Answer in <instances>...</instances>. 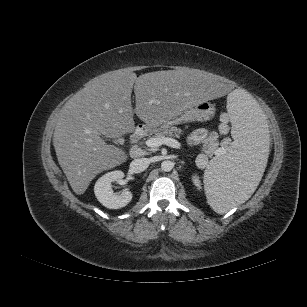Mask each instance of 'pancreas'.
Listing matches in <instances>:
<instances>
[{
	"label": "pancreas",
	"mask_w": 307,
	"mask_h": 307,
	"mask_svg": "<svg viewBox=\"0 0 307 307\" xmlns=\"http://www.w3.org/2000/svg\"><path fill=\"white\" fill-rule=\"evenodd\" d=\"M181 133H182V130L180 128H177L175 126H172V127L169 126L155 133V135H153V138L166 137V136L179 138ZM217 147H218V143L215 141H211L209 144H205L203 146V152L206 155L211 156L216 151Z\"/></svg>",
	"instance_id": "obj_1"
}]
</instances>
